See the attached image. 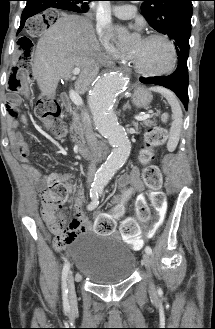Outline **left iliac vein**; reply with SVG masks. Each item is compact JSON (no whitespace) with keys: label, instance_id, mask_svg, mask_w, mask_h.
<instances>
[{"label":"left iliac vein","instance_id":"left-iliac-vein-1","mask_svg":"<svg viewBox=\"0 0 215 329\" xmlns=\"http://www.w3.org/2000/svg\"><path fill=\"white\" fill-rule=\"evenodd\" d=\"M143 263H144L146 269L149 271L150 266H151V260H150V255L148 253H145L143 255ZM151 289H152V284H151Z\"/></svg>","mask_w":215,"mask_h":329}]
</instances>
